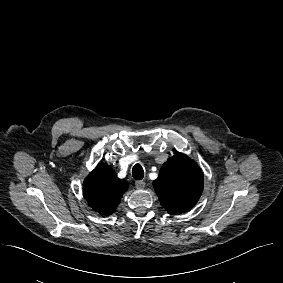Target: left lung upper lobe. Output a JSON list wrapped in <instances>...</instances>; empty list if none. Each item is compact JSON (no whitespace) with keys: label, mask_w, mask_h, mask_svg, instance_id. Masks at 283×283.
Segmentation results:
<instances>
[{"label":"left lung upper lobe","mask_w":283,"mask_h":283,"mask_svg":"<svg viewBox=\"0 0 283 283\" xmlns=\"http://www.w3.org/2000/svg\"><path fill=\"white\" fill-rule=\"evenodd\" d=\"M153 186L168 213L181 214L199 200L203 191V173L195 161L177 153L162 165Z\"/></svg>","instance_id":"left-lung-upper-lobe-1"}]
</instances>
